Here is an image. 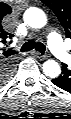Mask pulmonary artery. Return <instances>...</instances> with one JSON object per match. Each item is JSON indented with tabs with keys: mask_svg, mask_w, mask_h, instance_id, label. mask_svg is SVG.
Listing matches in <instances>:
<instances>
[{
	"mask_svg": "<svg viewBox=\"0 0 71 119\" xmlns=\"http://www.w3.org/2000/svg\"><path fill=\"white\" fill-rule=\"evenodd\" d=\"M49 47L53 53L60 59H66L67 53L62 42L56 33L49 35Z\"/></svg>",
	"mask_w": 71,
	"mask_h": 119,
	"instance_id": "1",
	"label": "pulmonary artery"
}]
</instances>
